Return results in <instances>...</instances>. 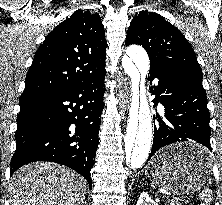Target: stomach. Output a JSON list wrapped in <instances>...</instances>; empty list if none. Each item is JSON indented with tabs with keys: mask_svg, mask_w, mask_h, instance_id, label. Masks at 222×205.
<instances>
[{
	"mask_svg": "<svg viewBox=\"0 0 222 205\" xmlns=\"http://www.w3.org/2000/svg\"><path fill=\"white\" fill-rule=\"evenodd\" d=\"M204 148L191 142L177 143L164 148L146 166V174L161 189L187 194L200 190L209 178V163L183 165L176 161L186 151H203Z\"/></svg>",
	"mask_w": 222,
	"mask_h": 205,
	"instance_id": "0dacf381",
	"label": "stomach"
}]
</instances>
